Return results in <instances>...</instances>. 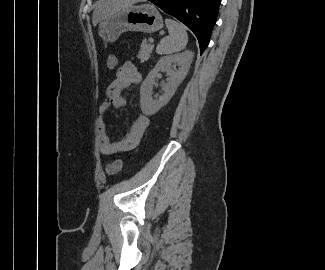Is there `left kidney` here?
<instances>
[{
  "label": "left kidney",
  "instance_id": "left-kidney-1",
  "mask_svg": "<svg viewBox=\"0 0 325 270\" xmlns=\"http://www.w3.org/2000/svg\"><path fill=\"white\" fill-rule=\"evenodd\" d=\"M194 53L186 50L182 53L164 56L159 59L156 66L149 72L140 88V105L145 115H153L165 106L175 94L177 87L186 77L193 60ZM178 66V69L174 67ZM159 72H167L170 79L163 86V95L153 99L152 91L155 79Z\"/></svg>",
  "mask_w": 325,
  "mask_h": 270
}]
</instances>
